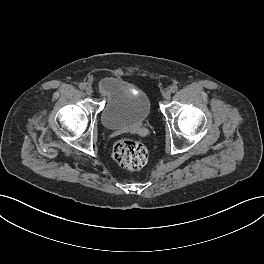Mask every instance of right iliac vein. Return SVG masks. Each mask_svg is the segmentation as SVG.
Returning <instances> with one entry per match:
<instances>
[{
  "label": "right iliac vein",
  "mask_w": 264,
  "mask_h": 264,
  "mask_svg": "<svg viewBox=\"0 0 264 264\" xmlns=\"http://www.w3.org/2000/svg\"><path fill=\"white\" fill-rule=\"evenodd\" d=\"M85 92H86L87 95H92L93 90H92V88L88 87V88H86Z\"/></svg>",
  "instance_id": "63e3f726"
}]
</instances>
